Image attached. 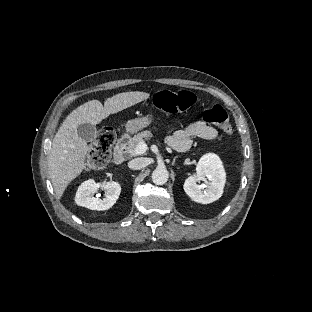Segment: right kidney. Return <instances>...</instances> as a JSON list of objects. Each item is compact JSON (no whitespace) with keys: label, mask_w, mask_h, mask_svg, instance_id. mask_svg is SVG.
<instances>
[{"label":"right kidney","mask_w":312,"mask_h":312,"mask_svg":"<svg viewBox=\"0 0 312 312\" xmlns=\"http://www.w3.org/2000/svg\"><path fill=\"white\" fill-rule=\"evenodd\" d=\"M105 191L104 198L94 197L98 189ZM121 186L114 181L95 183L93 179L84 181L75 195V202L78 206L86 207L91 210H108L119 198Z\"/></svg>","instance_id":"ca27d5eb"}]
</instances>
